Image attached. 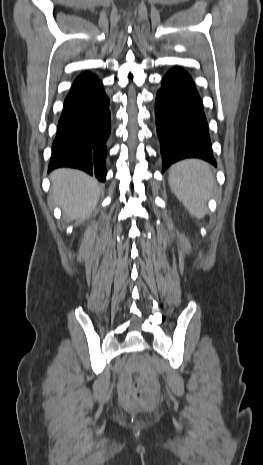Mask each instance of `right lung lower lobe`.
<instances>
[{"label":"right lung lower lobe","instance_id":"obj_1","mask_svg":"<svg viewBox=\"0 0 263 465\" xmlns=\"http://www.w3.org/2000/svg\"><path fill=\"white\" fill-rule=\"evenodd\" d=\"M110 116L109 98L101 81L91 73L80 75L65 99L48 171L78 168L104 182Z\"/></svg>","mask_w":263,"mask_h":465}]
</instances>
